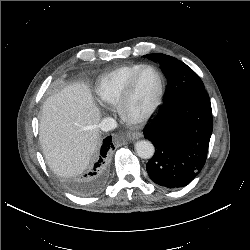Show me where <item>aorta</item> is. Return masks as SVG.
I'll return each mask as SVG.
<instances>
[{"instance_id": "1", "label": "aorta", "mask_w": 250, "mask_h": 250, "mask_svg": "<svg viewBox=\"0 0 250 250\" xmlns=\"http://www.w3.org/2000/svg\"><path fill=\"white\" fill-rule=\"evenodd\" d=\"M135 151L140 158L150 159L154 155V146L150 141L140 140L135 144Z\"/></svg>"}]
</instances>
